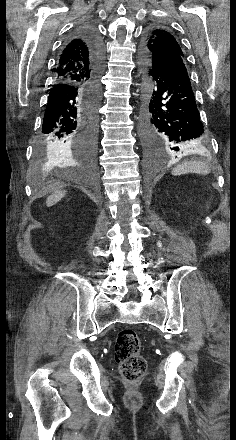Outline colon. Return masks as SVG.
Here are the masks:
<instances>
[{
	"instance_id": "5ec220e1",
	"label": "colon",
	"mask_w": 236,
	"mask_h": 440,
	"mask_svg": "<svg viewBox=\"0 0 236 440\" xmlns=\"http://www.w3.org/2000/svg\"><path fill=\"white\" fill-rule=\"evenodd\" d=\"M115 357L120 372L127 381L141 378L146 371V361L141 355V342L133 329H122L115 341Z\"/></svg>"
}]
</instances>
